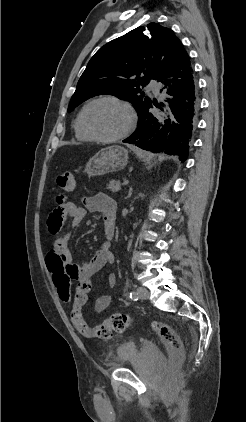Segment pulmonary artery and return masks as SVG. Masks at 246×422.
<instances>
[{"instance_id":"obj_1","label":"pulmonary artery","mask_w":246,"mask_h":422,"mask_svg":"<svg viewBox=\"0 0 246 422\" xmlns=\"http://www.w3.org/2000/svg\"><path fill=\"white\" fill-rule=\"evenodd\" d=\"M148 88L154 93H158L160 89V84L155 80H151L148 84Z\"/></svg>"}]
</instances>
